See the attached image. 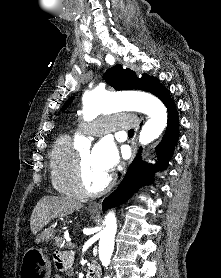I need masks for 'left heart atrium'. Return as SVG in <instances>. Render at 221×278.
Masks as SVG:
<instances>
[{"label": "left heart atrium", "mask_w": 221, "mask_h": 278, "mask_svg": "<svg viewBox=\"0 0 221 278\" xmlns=\"http://www.w3.org/2000/svg\"><path fill=\"white\" fill-rule=\"evenodd\" d=\"M91 154L96 166L106 173H110L118 162L117 149L108 139L98 142Z\"/></svg>", "instance_id": "obj_1"}]
</instances>
